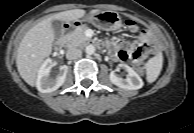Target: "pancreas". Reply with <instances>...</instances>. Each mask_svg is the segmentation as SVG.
<instances>
[{
	"instance_id": "1",
	"label": "pancreas",
	"mask_w": 194,
	"mask_h": 133,
	"mask_svg": "<svg viewBox=\"0 0 194 133\" xmlns=\"http://www.w3.org/2000/svg\"><path fill=\"white\" fill-rule=\"evenodd\" d=\"M88 29L86 25H81L76 28L73 32L65 36V41L68 47L83 46L88 43L91 39L85 35V31Z\"/></svg>"
}]
</instances>
